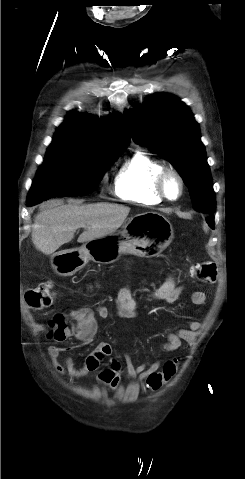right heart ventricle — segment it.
Wrapping results in <instances>:
<instances>
[{"mask_svg": "<svg viewBox=\"0 0 245 479\" xmlns=\"http://www.w3.org/2000/svg\"><path fill=\"white\" fill-rule=\"evenodd\" d=\"M166 168L163 162L137 150L121 165L114 182L115 194L126 201L156 205L163 201L156 190L157 176Z\"/></svg>", "mask_w": 245, "mask_h": 479, "instance_id": "obj_1", "label": "right heart ventricle"}]
</instances>
